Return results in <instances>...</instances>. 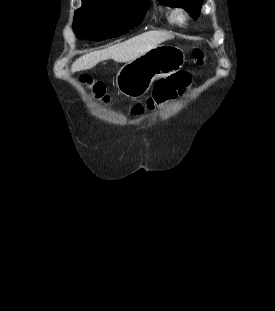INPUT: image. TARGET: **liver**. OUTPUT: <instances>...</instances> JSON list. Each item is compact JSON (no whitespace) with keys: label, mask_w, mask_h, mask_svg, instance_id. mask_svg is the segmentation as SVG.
Returning a JSON list of instances; mask_svg holds the SVG:
<instances>
[{"label":"liver","mask_w":275,"mask_h":311,"mask_svg":"<svg viewBox=\"0 0 275 311\" xmlns=\"http://www.w3.org/2000/svg\"><path fill=\"white\" fill-rule=\"evenodd\" d=\"M172 38L169 33L162 31L142 33L122 43L83 55L73 63L72 72L91 69L107 59H113L119 63L132 61Z\"/></svg>","instance_id":"1"}]
</instances>
